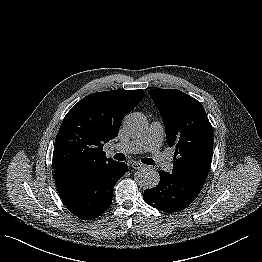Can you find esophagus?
I'll list each match as a JSON object with an SVG mask.
<instances>
[{"label":"esophagus","instance_id":"esophagus-1","mask_svg":"<svg viewBox=\"0 0 262 262\" xmlns=\"http://www.w3.org/2000/svg\"><path fill=\"white\" fill-rule=\"evenodd\" d=\"M132 168H134V169H142V168H145L146 166L145 165H143V164H141V163H139V162H134V163H132Z\"/></svg>","mask_w":262,"mask_h":262}]
</instances>
